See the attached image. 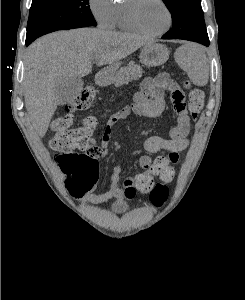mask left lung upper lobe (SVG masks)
Masks as SVG:
<instances>
[{
	"instance_id": "1",
	"label": "left lung upper lobe",
	"mask_w": 245,
	"mask_h": 300,
	"mask_svg": "<svg viewBox=\"0 0 245 300\" xmlns=\"http://www.w3.org/2000/svg\"><path fill=\"white\" fill-rule=\"evenodd\" d=\"M172 17V30L163 36L193 35L205 31L201 0H163Z\"/></svg>"
}]
</instances>
